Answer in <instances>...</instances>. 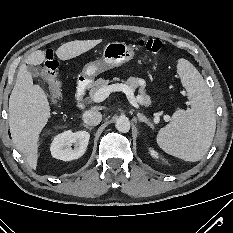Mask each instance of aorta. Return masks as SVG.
Segmentation results:
<instances>
[{
	"label": "aorta",
	"mask_w": 233,
	"mask_h": 233,
	"mask_svg": "<svg viewBox=\"0 0 233 233\" xmlns=\"http://www.w3.org/2000/svg\"><path fill=\"white\" fill-rule=\"evenodd\" d=\"M116 128L118 131L126 133L130 130V121L126 116H120L116 120Z\"/></svg>",
	"instance_id": "obj_1"
}]
</instances>
